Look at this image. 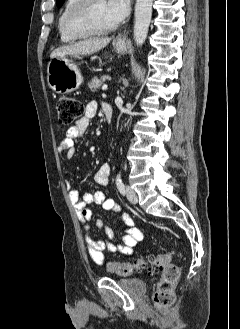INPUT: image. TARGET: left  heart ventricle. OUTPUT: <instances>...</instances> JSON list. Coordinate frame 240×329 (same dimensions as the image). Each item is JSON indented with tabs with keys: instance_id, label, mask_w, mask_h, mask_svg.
Here are the masks:
<instances>
[{
	"instance_id": "left-heart-ventricle-1",
	"label": "left heart ventricle",
	"mask_w": 240,
	"mask_h": 329,
	"mask_svg": "<svg viewBox=\"0 0 240 329\" xmlns=\"http://www.w3.org/2000/svg\"><path fill=\"white\" fill-rule=\"evenodd\" d=\"M90 22L96 27H106L116 23L108 12L106 0H95L90 13Z\"/></svg>"
}]
</instances>
